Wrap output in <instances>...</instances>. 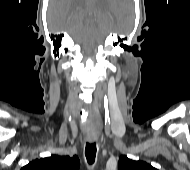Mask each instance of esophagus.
<instances>
[{
    "mask_svg": "<svg viewBox=\"0 0 190 170\" xmlns=\"http://www.w3.org/2000/svg\"><path fill=\"white\" fill-rule=\"evenodd\" d=\"M86 139H87V141H89V142H94V141L96 140V136H94V135H88V136L86 137Z\"/></svg>",
    "mask_w": 190,
    "mask_h": 170,
    "instance_id": "obj_1",
    "label": "esophagus"
}]
</instances>
